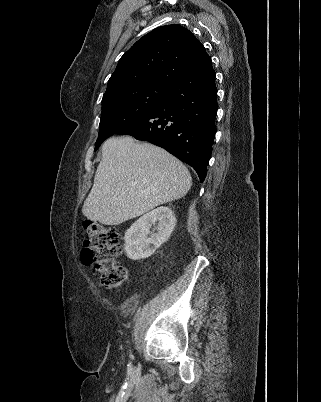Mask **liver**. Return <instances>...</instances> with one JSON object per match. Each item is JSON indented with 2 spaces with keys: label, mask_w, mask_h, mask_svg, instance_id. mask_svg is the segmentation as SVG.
<instances>
[{
  "label": "liver",
  "mask_w": 321,
  "mask_h": 402,
  "mask_svg": "<svg viewBox=\"0 0 321 402\" xmlns=\"http://www.w3.org/2000/svg\"><path fill=\"white\" fill-rule=\"evenodd\" d=\"M191 186L186 166L163 148L130 136L113 137L102 146L82 212L90 220L116 226L185 196Z\"/></svg>",
  "instance_id": "1"
}]
</instances>
